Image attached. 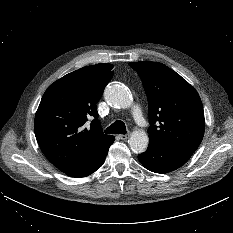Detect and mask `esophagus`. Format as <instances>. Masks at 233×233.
<instances>
[{
  "instance_id": "esophagus-1",
  "label": "esophagus",
  "mask_w": 233,
  "mask_h": 233,
  "mask_svg": "<svg viewBox=\"0 0 233 233\" xmlns=\"http://www.w3.org/2000/svg\"><path fill=\"white\" fill-rule=\"evenodd\" d=\"M129 133L128 134H121V135H119V137H120V139L121 140H126V139H128L129 138Z\"/></svg>"
}]
</instances>
